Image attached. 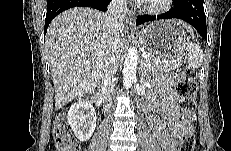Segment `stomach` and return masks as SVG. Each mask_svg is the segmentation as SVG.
Wrapping results in <instances>:
<instances>
[{
	"label": "stomach",
	"instance_id": "1",
	"mask_svg": "<svg viewBox=\"0 0 231 151\" xmlns=\"http://www.w3.org/2000/svg\"><path fill=\"white\" fill-rule=\"evenodd\" d=\"M141 45L152 55L163 59H176L186 51L188 37L176 20H161L142 28Z\"/></svg>",
	"mask_w": 231,
	"mask_h": 151
}]
</instances>
